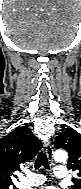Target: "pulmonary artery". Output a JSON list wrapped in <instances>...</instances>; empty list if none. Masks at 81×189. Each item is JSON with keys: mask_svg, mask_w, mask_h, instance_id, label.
<instances>
[{"mask_svg": "<svg viewBox=\"0 0 81 189\" xmlns=\"http://www.w3.org/2000/svg\"><path fill=\"white\" fill-rule=\"evenodd\" d=\"M54 175L60 180H65L67 178V170L65 167L56 166L54 168ZM46 181V177L43 174L30 173L29 175L20 179V183L26 187L38 186Z\"/></svg>", "mask_w": 81, "mask_h": 189, "instance_id": "pulmonary-artery-1", "label": "pulmonary artery"}]
</instances>
